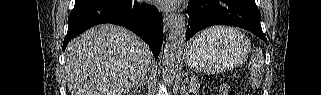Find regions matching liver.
<instances>
[{"instance_id": "1", "label": "liver", "mask_w": 321, "mask_h": 95, "mask_svg": "<svg viewBox=\"0 0 321 95\" xmlns=\"http://www.w3.org/2000/svg\"><path fill=\"white\" fill-rule=\"evenodd\" d=\"M151 62L150 49L138 36L103 24L68 43L64 72L71 95H127Z\"/></svg>"}]
</instances>
